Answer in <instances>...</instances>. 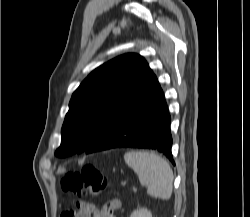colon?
Here are the masks:
<instances>
[{"mask_svg":"<svg viewBox=\"0 0 250 217\" xmlns=\"http://www.w3.org/2000/svg\"><path fill=\"white\" fill-rule=\"evenodd\" d=\"M62 188L76 195L89 194L96 196L107 188V178L104 173L93 165H85L80 171L68 172L61 180ZM78 212L83 217L97 215L100 207L82 202L74 209L64 211L60 217H69Z\"/></svg>","mask_w":250,"mask_h":217,"instance_id":"obj_1","label":"colon"}]
</instances>
